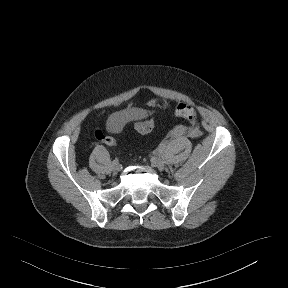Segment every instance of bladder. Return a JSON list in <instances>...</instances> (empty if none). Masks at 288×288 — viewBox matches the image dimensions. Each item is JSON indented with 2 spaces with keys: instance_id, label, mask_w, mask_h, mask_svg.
<instances>
[{
  "instance_id": "31cf9c89",
  "label": "bladder",
  "mask_w": 288,
  "mask_h": 288,
  "mask_svg": "<svg viewBox=\"0 0 288 288\" xmlns=\"http://www.w3.org/2000/svg\"><path fill=\"white\" fill-rule=\"evenodd\" d=\"M135 115H136L135 111H132V110L125 111L124 113H122V114L118 115L117 117L113 118L111 120V123L113 125L120 124L124 120L130 119V118L134 117Z\"/></svg>"
}]
</instances>
